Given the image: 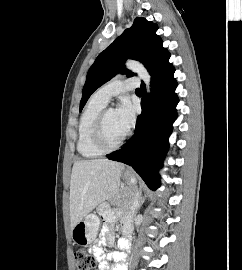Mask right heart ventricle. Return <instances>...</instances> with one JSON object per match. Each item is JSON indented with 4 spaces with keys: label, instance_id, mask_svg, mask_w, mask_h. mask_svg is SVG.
<instances>
[{
    "label": "right heart ventricle",
    "instance_id": "right-heart-ventricle-1",
    "mask_svg": "<svg viewBox=\"0 0 242 270\" xmlns=\"http://www.w3.org/2000/svg\"><path fill=\"white\" fill-rule=\"evenodd\" d=\"M106 103L96 99L94 96L86 105L78 126L77 151L84 158H95L103 154L92 142L94 124Z\"/></svg>",
    "mask_w": 242,
    "mask_h": 270
}]
</instances>
